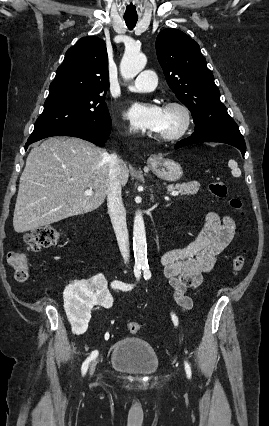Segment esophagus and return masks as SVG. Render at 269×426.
I'll return each instance as SVG.
<instances>
[{"instance_id":"1","label":"esophagus","mask_w":269,"mask_h":426,"mask_svg":"<svg viewBox=\"0 0 269 426\" xmlns=\"http://www.w3.org/2000/svg\"><path fill=\"white\" fill-rule=\"evenodd\" d=\"M156 160H157V156H156V154H152V155H150V157H149V159H148L149 163H153V162H155Z\"/></svg>"}]
</instances>
